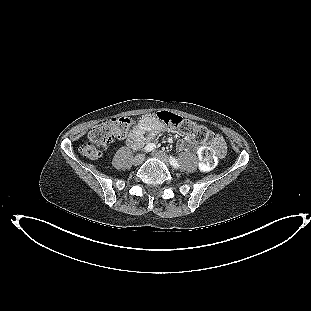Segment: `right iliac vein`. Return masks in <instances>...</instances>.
<instances>
[{
	"label": "right iliac vein",
	"mask_w": 311,
	"mask_h": 311,
	"mask_svg": "<svg viewBox=\"0 0 311 311\" xmlns=\"http://www.w3.org/2000/svg\"><path fill=\"white\" fill-rule=\"evenodd\" d=\"M145 155L144 154H138L133 159L134 165H139L143 162Z\"/></svg>",
	"instance_id": "right-iliac-vein-1"
}]
</instances>
